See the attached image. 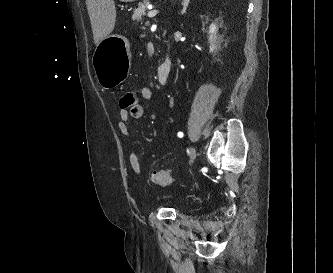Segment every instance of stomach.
I'll use <instances>...</instances> for the list:
<instances>
[{"label":"stomach","instance_id":"0dacf381","mask_svg":"<svg viewBox=\"0 0 333 273\" xmlns=\"http://www.w3.org/2000/svg\"><path fill=\"white\" fill-rule=\"evenodd\" d=\"M132 2L135 0H122ZM129 41L120 34L104 38L96 48L93 56V66L96 81L105 89L118 86L130 70L128 58Z\"/></svg>","mask_w":333,"mask_h":273}]
</instances>
